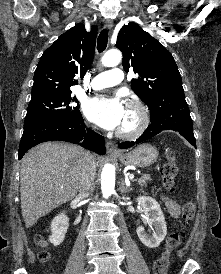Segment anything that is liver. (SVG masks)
Listing matches in <instances>:
<instances>
[{
	"mask_svg": "<svg viewBox=\"0 0 221 274\" xmlns=\"http://www.w3.org/2000/svg\"><path fill=\"white\" fill-rule=\"evenodd\" d=\"M87 153L80 146L45 142L25 154L20 169V199L27 228L77 195Z\"/></svg>",
	"mask_w": 221,
	"mask_h": 274,
	"instance_id": "liver-1",
	"label": "liver"
}]
</instances>
